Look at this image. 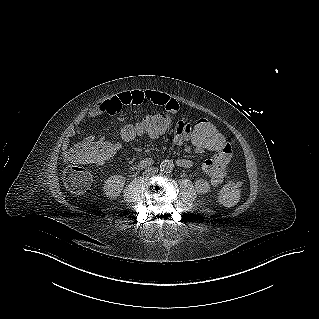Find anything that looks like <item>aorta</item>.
<instances>
[{"label": "aorta", "mask_w": 319, "mask_h": 319, "mask_svg": "<svg viewBox=\"0 0 319 319\" xmlns=\"http://www.w3.org/2000/svg\"><path fill=\"white\" fill-rule=\"evenodd\" d=\"M160 168L164 172H170L173 169V163L169 160L161 162Z\"/></svg>", "instance_id": "1"}]
</instances>
